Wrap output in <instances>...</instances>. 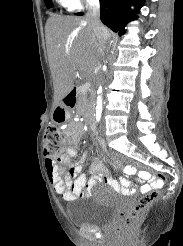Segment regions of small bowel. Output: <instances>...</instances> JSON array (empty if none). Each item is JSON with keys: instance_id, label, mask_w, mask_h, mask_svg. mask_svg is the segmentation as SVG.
<instances>
[{"instance_id": "small-bowel-1", "label": "small bowel", "mask_w": 183, "mask_h": 246, "mask_svg": "<svg viewBox=\"0 0 183 246\" xmlns=\"http://www.w3.org/2000/svg\"><path fill=\"white\" fill-rule=\"evenodd\" d=\"M67 136L71 145L63 152V157L65 159L76 154V145L80 140L81 133L68 131ZM86 158L87 153L83 154L80 160L76 163H59L49 157L45 159V168L48 178L55 191L60 194L64 200L74 201L78 198L88 197L92 188L100 182L108 183L115 191L124 195H129L135 192L128 179L123 177L120 178V180L110 178L104 167L99 163H95L92 167L95 175L91 178H87L86 174L82 173V165ZM134 171V168L130 166L124 167V172L127 174H131ZM134 177L138 178L139 174L135 173ZM140 177L145 179V183H152L143 185L141 187V192L146 193L150 191L152 187L155 188L158 186V180H156V178H150V174L148 172H140Z\"/></svg>"}]
</instances>
